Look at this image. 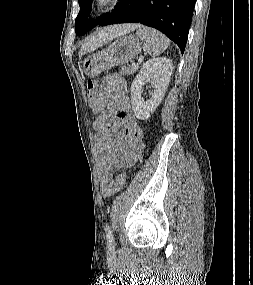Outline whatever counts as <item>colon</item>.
<instances>
[{"instance_id":"5ec220e1","label":"colon","mask_w":253,"mask_h":285,"mask_svg":"<svg viewBox=\"0 0 253 285\" xmlns=\"http://www.w3.org/2000/svg\"><path fill=\"white\" fill-rule=\"evenodd\" d=\"M98 95V81L95 79H89L87 84V96L90 102H92ZM127 174L126 172H122L119 174L114 183V189L115 191H120L126 182Z\"/></svg>"}]
</instances>
